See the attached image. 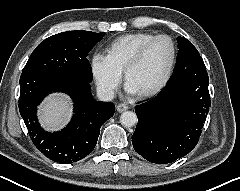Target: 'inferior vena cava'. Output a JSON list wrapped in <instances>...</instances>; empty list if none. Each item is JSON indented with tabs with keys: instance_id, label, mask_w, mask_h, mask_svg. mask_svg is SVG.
<instances>
[{
	"instance_id": "inferior-vena-cava-1",
	"label": "inferior vena cava",
	"mask_w": 240,
	"mask_h": 191,
	"mask_svg": "<svg viewBox=\"0 0 240 191\" xmlns=\"http://www.w3.org/2000/svg\"><path fill=\"white\" fill-rule=\"evenodd\" d=\"M97 97L100 101H111L114 99V90L111 88H98Z\"/></svg>"
}]
</instances>
